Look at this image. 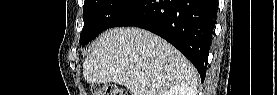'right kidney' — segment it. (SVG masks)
<instances>
[{
	"label": "right kidney",
	"mask_w": 277,
	"mask_h": 95,
	"mask_svg": "<svg viewBox=\"0 0 277 95\" xmlns=\"http://www.w3.org/2000/svg\"><path fill=\"white\" fill-rule=\"evenodd\" d=\"M191 93H188V90L180 87V86H175L168 90L165 95H189Z\"/></svg>",
	"instance_id": "ca27d5eb"
}]
</instances>
